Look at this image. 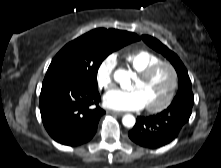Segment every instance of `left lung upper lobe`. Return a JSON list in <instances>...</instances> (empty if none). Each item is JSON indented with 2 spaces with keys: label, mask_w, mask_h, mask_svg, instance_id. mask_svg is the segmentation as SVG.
Listing matches in <instances>:
<instances>
[{
  "label": "left lung upper lobe",
  "mask_w": 221,
  "mask_h": 168,
  "mask_svg": "<svg viewBox=\"0 0 221 168\" xmlns=\"http://www.w3.org/2000/svg\"><path fill=\"white\" fill-rule=\"evenodd\" d=\"M141 38L151 48L164 55L174 66L178 74L179 89L172 103L185 100L194 101V96L191 89V81L188 72L180 58L174 52L168 49L164 44H162L159 40L148 35H143L141 36Z\"/></svg>",
  "instance_id": "obj_1"
}]
</instances>
